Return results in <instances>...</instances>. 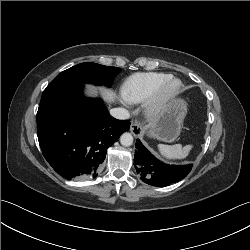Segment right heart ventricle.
<instances>
[{"mask_svg": "<svg viewBox=\"0 0 250 250\" xmlns=\"http://www.w3.org/2000/svg\"><path fill=\"white\" fill-rule=\"evenodd\" d=\"M171 75L162 72H143L129 76L122 84L121 93L125 101L140 103Z\"/></svg>", "mask_w": 250, "mask_h": 250, "instance_id": "right-heart-ventricle-1", "label": "right heart ventricle"}]
</instances>
